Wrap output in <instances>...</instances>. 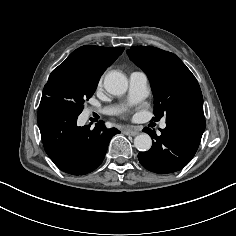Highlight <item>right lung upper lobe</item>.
Here are the masks:
<instances>
[{
  "label": "right lung upper lobe",
  "instance_id": "1",
  "mask_svg": "<svg viewBox=\"0 0 236 236\" xmlns=\"http://www.w3.org/2000/svg\"><path fill=\"white\" fill-rule=\"evenodd\" d=\"M124 48H107L85 45L74 52L61 64L89 77L100 79V76L110 66Z\"/></svg>",
  "mask_w": 236,
  "mask_h": 236
}]
</instances>
